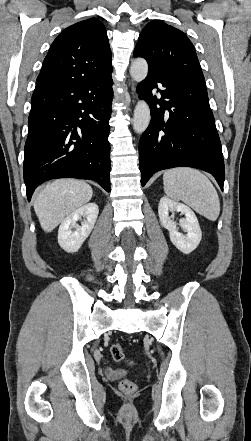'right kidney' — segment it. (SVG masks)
<instances>
[{"label":"right kidney","instance_id":"1","mask_svg":"<svg viewBox=\"0 0 251 441\" xmlns=\"http://www.w3.org/2000/svg\"><path fill=\"white\" fill-rule=\"evenodd\" d=\"M98 213L97 204L88 203L69 214L62 221L58 230L60 247L68 253L77 252L94 228ZM82 217H85L86 220L80 226L77 221Z\"/></svg>","mask_w":251,"mask_h":441}]
</instances>
